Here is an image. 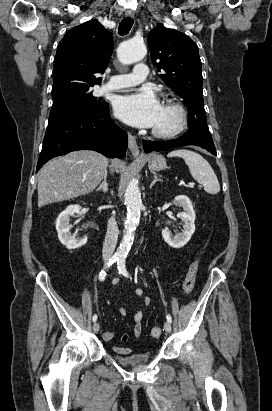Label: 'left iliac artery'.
Wrapping results in <instances>:
<instances>
[{
    "label": "left iliac artery",
    "mask_w": 272,
    "mask_h": 411,
    "mask_svg": "<svg viewBox=\"0 0 272 411\" xmlns=\"http://www.w3.org/2000/svg\"><path fill=\"white\" fill-rule=\"evenodd\" d=\"M117 264L119 273L125 277H129L128 271L126 269L125 258H119ZM166 318L168 322H172V317L169 314H167Z\"/></svg>",
    "instance_id": "left-iliac-artery-1"
}]
</instances>
